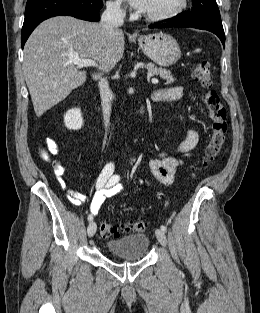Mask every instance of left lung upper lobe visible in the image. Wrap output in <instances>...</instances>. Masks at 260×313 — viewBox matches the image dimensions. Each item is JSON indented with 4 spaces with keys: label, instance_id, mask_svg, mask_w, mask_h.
<instances>
[{
    "label": "left lung upper lobe",
    "instance_id": "5c2ea615",
    "mask_svg": "<svg viewBox=\"0 0 260 313\" xmlns=\"http://www.w3.org/2000/svg\"><path fill=\"white\" fill-rule=\"evenodd\" d=\"M190 12L180 13L170 20L186 19L201 24L222 26L221 17L215 0H192Z\"/></svg>",
    "mask_w": 260,
    "mask_h": 313
}]
</instances>
